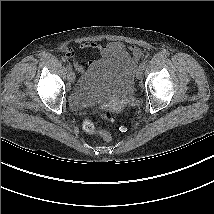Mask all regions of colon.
<instances>
[{
	"label": "colon",
	"instance_id": "obj_1",
	"mask_svg": "<svg viewBox=\"0 0 214 214\" xmlns=\"http://www.w3.org/2000/svg\"><path fill=\"white\" fill-rule=\"evenodd\" d=\"M102 117L107 121H113V117L111 116L110 113L104 112L102 114ZM83 126H84V129L88 133L97 135V136H99L100 138H102L106 142H109V141L112 140V136L108 131L103 130V129L95 130L93 124L88 120H86L84 122Z\"/></svg>",
	"mask_w": 214,
	"mask_h": 214
}]
</instances>
